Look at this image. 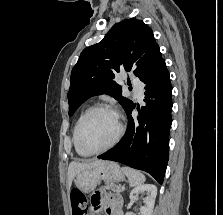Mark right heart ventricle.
<instances>
[{"instance_id": "obj_1", "label": "right heart ventricle", "mask_w": 223, "mask_h": 215, "mask_svg": "<svg viewBox=\"0 0 223 215\" xmlns=\"http://www.w3.org/2000/svg\"><path fill=\"white\" fill-rule=\"evenodd\" d=\"M83 115H84V113H82V114L78 117V119L76 120L75 125H74V127H73V131H72V141H73L75 150H76L80 155H82V154L77 150V147H76V144H75V135H76V128H77V125H78V123H79V121H80V119H81V117H82Z\"/></svg>"}]
</instances>
